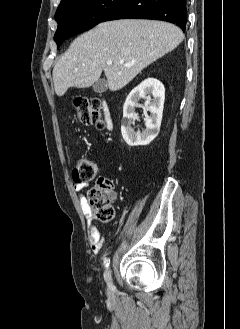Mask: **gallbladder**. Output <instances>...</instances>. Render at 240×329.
I'll use <instances>...</instances> for the list:
<instances>
[{
	"label": "gallbladder",
	"mask_w": 240,
	"mask_h": 329,
	"mask_svg": "<svg viewBox=\"0 0 240 329\" xmlns=\"http://www.w3.org/2000/svg\"><path fill=\"white\" fill-rule=\"evenodd\" d=\"M107 88H108V84L104 78L99 79L93 85V90L97 93H103L107 90Z\"/></svg>",
	"instance_id": "1"
}]
</instances>
